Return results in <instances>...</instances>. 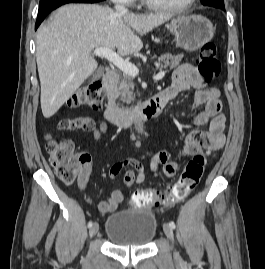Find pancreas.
Listing matches in <instances>:
<instances>
[{"instance_id": "1", "label": "pancreas", "mask_w": 265, "mask_h": 269, "mask_svg": "<svg viewBox=\"0 0 265 269\" xmlns=\"http://www.w3.org/2000/svg\"><path fill=\"white\" fill-rule=\"evenodd\" d=\"M183 58L182 54L171 55L166 54L161 56L156 63V69L162 70L169 68L170 70L177 67ZM134 83L130 75L122 73L117 75L115 80L114 93L117 98L122 102L131 103L134 101L135 95L133 94Z\"/></svg>"}]
</instances>
